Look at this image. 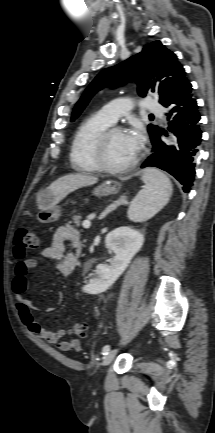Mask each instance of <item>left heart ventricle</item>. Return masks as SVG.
Returning a JSON list of instances; mask_svg holds the SVG:
<instances>
[{"mask_svg":"<svg viewBox=\"0 0 215 433\" xmlns=\"http://www.w3.org/2000/svg\"><path fill=\"white\" fill-rule=\"evenodd\" d=\"M136 156L124 132L113 133L107 143L106 160L114 167L123 166Z\"/></svg>","mask_w":215,"mask_h":433,"instance_id":"b2bd125f","label":"left heart ventricle"}]
</instances>
